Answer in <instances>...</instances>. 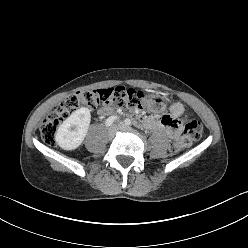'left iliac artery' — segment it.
Listing matches in <instances>:
<instances>
[{
  "label": "left iliac artery",
  "mask_w": 248,
  "mask_h": 248,
  "mask_svg": "<svg viewBox=\"0 0 248 248\" xmlns=\"http://www.w3.org/2000/svg\"><path fill=\"white\" fill-rule=\"evenodd\" d=\"M124 122H125V124H127V125H132V122H131L129 119H126Z\"/></svg>",
  "instance_id": "left-iliac-artery-1"
}]
</instances>
